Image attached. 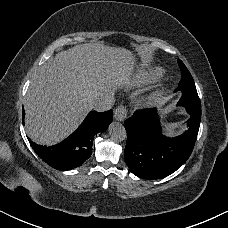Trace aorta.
I'll return each mask as SVG.
<instances>
[{"label": "aorta", "mask_w": 228, "mask_h": 228, "mask_svg": "<svg viewBox=\"0 0 228 228\" xmlns=\"http://www.w3.org/2000/svg\"><path fill=\"white\" fill-rule=\"evenodd\" d=\"M109 134L110 137L116 142L124 141L127 137L124 126L119 122L111 123L109 126Z\"/></svg>", "instance_id": "1"}]
</instances>
